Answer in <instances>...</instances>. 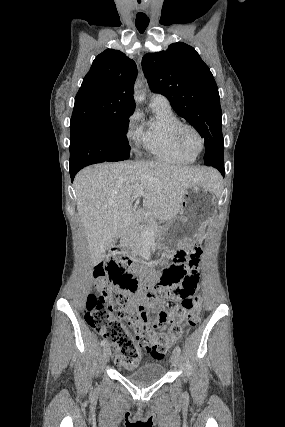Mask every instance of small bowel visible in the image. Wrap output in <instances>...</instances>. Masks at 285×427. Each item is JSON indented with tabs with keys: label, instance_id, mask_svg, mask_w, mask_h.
Instances as JSON below:
<instances>
[{
	"label": "small bowel",
	"instance_id": "c3829d8e",
	"mask_svg": "<svg viewBox=\"0 0 285 427\" xmlns=\"http://www.w3.org/2000/svg\"><path fill=\"white\" fill-rule=\"evenodd\" d=\"M195 255L189 260L187 271L191 274H198V265L200 261L201 250L195 248ZM193 290V289H192ZM191 290V292H192ZM184 290L182 287H176V292L166 290L161 293L154 301L151 302L152 309L147 312V322L150 325L162 327L165 325L163 315L166 314L170 308V304L182 297Z\"/></svg>",
	"mask_w": 285,
	"mask_h": 427
}]
</instances>
